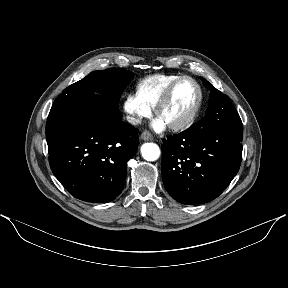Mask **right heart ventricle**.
<instances>
[{
    "mask_svg": "<svg viewBox=\"0 0 288 288\" xmlns=\"http://www.w3.org/2000/svg\"><path fill=\"white\" fill-rule=\"evenodd\" d=\"M179 75L154 74L141 79L136 85V95L151 109L154 108L167 87Z\"/></svg>",
    "mask_w": 288,
    "mask_h": 288,
    "instance_id": "right-heart-ventricle-1",
    "label": "right heart ventricle"
}]
</instances>
